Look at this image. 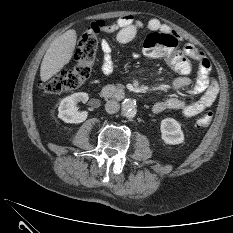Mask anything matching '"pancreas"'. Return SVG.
<instances>
[{
    "label": "pancreas",
    "mask_w": 233,
    "mask_h": 233,
    "mask_svg": "<svg viewBox=\"0 0 233 233\" xmlns=\"http://www.w3.org/2000/svg\"><path fill=\"white\" fill-rule=\"evenodd\" d=\"M117 87L119 88V89H123V85H121V84H117Z\"/></svg>",
    "instance_id": "obj_1"
}]
</instances>
